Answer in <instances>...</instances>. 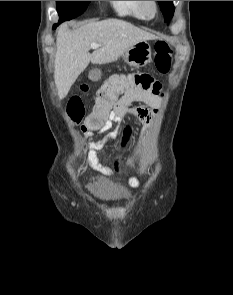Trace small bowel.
<instances>
[{
  "mask_svg": "<svg viewBox=\"0 0 233 295\" xmlns=\"http://www.w3.org/2000/svg\"><path fill=\"white\" fill-rule=\"evenodd\" d=\"M139 101L145 104V106L131 107V103ZM161 103V98L157 94L147 93L141 94L135 97H122L114 103L113 109L110 111L107 119L103 125L97 128L100 133L107 132L114 124H120L126 117H135L143 122L151 121L157 113V107ZM86 131V130H84ZM91 135V133H88ZM91 140V138H90ZM101 148L99 143H83V155L88 158L90 166L99 172H108L106 167H103L98 160L96 153L97 149ZM130 184L134 187L139 185L137 179L130 180Z\"/></svg>",
  "mask_w": 233,
  "mask_h": 295,
  "instance_id": "small-bowel-1",
  "label": "small bowel"
}]
</instances>
